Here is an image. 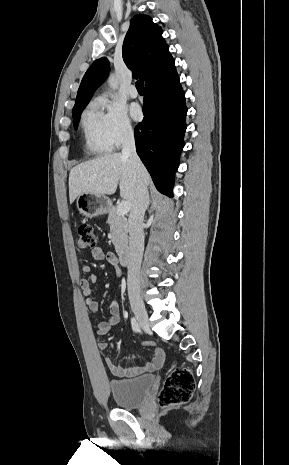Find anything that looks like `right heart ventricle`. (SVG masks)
Wrapping results in <instances>:
<instances>
[{
  "mask_svg": "<svg viewBox=\"0 0 289 465\" xmlns=\"http://www.w3.org/2000/svg\"><path fill=\"white\" fill-rule=\"evenodd\" d=\"M80 126L85 149L94 155H101L112 150L105 130L104 113L99 104L91 103L82 113Z\"/></svg>",
  "mask_w": 289,
  "mask_h": 465,
  "instance_id": "1",
  "label": "right heart ventricle"
}]
</instances>
